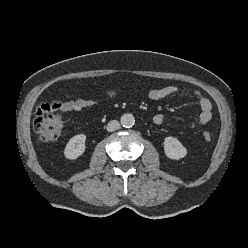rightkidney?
Instances as JSON below:
<instances>
[{"label":"right kidney","instance_id":"ca27d5eb","mask_svg":"<svg viewBox=\"0 0 248 248\" xmlns=\"http://www.w3.org/2000/svg\"><path fill=\"white\" fill-rule=\"evenodd\" d=\"M85 140L86 135L84 134H78L72 137L65 147V157L70 160L80 157L85 151Z\"/></svg>","mask_w":248,"mask_h":248}]
</instances>
